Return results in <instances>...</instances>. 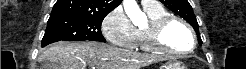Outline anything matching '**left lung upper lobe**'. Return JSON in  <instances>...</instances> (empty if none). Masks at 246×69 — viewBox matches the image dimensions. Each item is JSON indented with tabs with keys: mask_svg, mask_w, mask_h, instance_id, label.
I'll use <instances>...</instances> for the list:
<instances>
[{
	"mask_svg": "<svg viewBox=\"0 0 246 69\" xmlns=\"http://www.w3.org/2000/svg\"><path fill=\"white\" fill-rule=\"evenodd\" d=\"M168 9L185 19L196 31L198 43L202 44L199 34V26L194 15L193 9L187 0H160Z\"/></svg>",
	"mask_w": 246,
	"mask_h": 69,
	"instance_id": "obj_1",
	"label": "left lung upper lobe"
}]
</instances>
